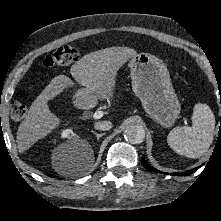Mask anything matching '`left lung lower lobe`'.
Instances as JSON below:
<instances>
[{"instance_id":"obj_1","label":"left lung lower lobe","mask_w":221,"mask_h":221,"mask_svg":"<svg viewBox=\"0 0 221 221\" xmlns=\"http://www.w3.org/2000/svg\"><path fill=\"white\" fill-rule=\"evenodd\" d=\"M142 165H143L146 169H148L149 171H152V172L157 171L155 168L151 167V166L148 164V162L145 160V156H144V155L142 156ZM197 169H198V168H194V169L189 170V171H187V172H185V173H181L180 175H181V176H187V175H189V174L195 172ZM177 175H179V174H177Z\"/></svg>"}]
</instances>
